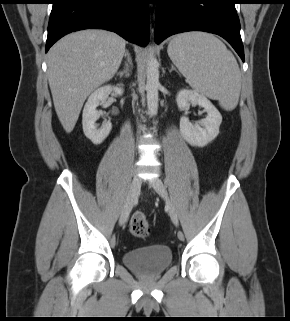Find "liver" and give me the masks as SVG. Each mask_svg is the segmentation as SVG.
I'll list each match as a JSON object with an SVG mask.
<instances>
[{
    "label": "liver",
    "instance_id": "liver-1",
    "mask_svg": "<svg viewBox=\"0 0 290 321\" xmlns=\"http://www.w3.org/2000/svg\"><path fill=\"white\" fill-rule=\"evenodd\" d=\"M125 40L116 33L87 29L70 33L48 52V81L55 111L70 133L91 92L117 72Z\"/></svg>",
    "mask_w": 290,
    "mask_h": 321
}]
</instances>
